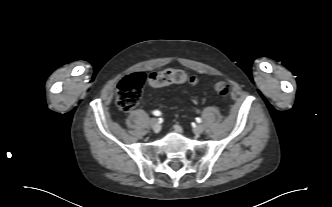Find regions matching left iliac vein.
I'll return each mask as SVG.
<instances>
[{"instance_id": "obj_1", "label": "left iliac vein", "mask_w": 332, "mask_h": 207, "mask_svg": "<svg viewBox=\"0 0 332 207\" xmlns=\"http://www.w3.org/2000/svg\"><path fill=\"white\" fill-rule=\"evenodd\" d=\"M203 131H204V128H203L202 125H197V126L194 127V129H193V132H194L195 134H197V135L203 133Z\"/></svg>"}]
</instances>
